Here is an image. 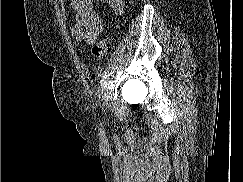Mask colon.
<instances>
[{
    "instance_id": "1",
    "label": "colon",
    "mask_w": 243,
    "mask_h": 182,
    "mask_svg": "<svg viewBox=\"0 0 243 182\" xmlns=\"http://www.w3.org/2000/svg\"><path fill=\"white\" fill-rule=\"evenodd\" d=\"M107 49H108L107 40L105 38H101L93 46L92 54H93L95 59L99 60L106 55Z\"/></svg>"
}]
</instances>
